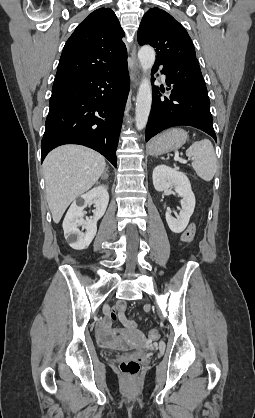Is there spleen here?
Listing matches in <instances>:
<instances>
[{
	"label": "spleen",
	"mask_w": 255,
	"mask_h": 418,
	"mask_svg": "<svg viewBox=\"0 0 255 418\" xmlns=\"http://www.w3.org/2000/svg\"><path fill=\"white\" fill-rule=\"evenodd\" d=\"M186 155L193 159L192 167L204 181H211L216 173L217 159L214 147L209 139L194 142Z\"/></svg>",
	"instance_id": "1"
}]
</instances>
